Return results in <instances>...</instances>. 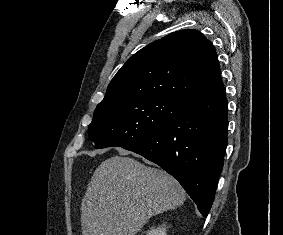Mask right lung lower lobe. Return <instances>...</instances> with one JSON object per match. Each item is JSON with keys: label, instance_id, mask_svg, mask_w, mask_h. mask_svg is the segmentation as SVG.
Segmentation results:
<instances>
[{"label": "right lung lower lobe", "instance_id": "right-lung-lower-lobe-1", "mask_svg": "<svg viewBox=\"0 0 283 235\" xmlns=\"http://www.w3.org/2000/svg\"><path fill=\"white\" fill-rule=\"evenodd\" d=\"M227 112L226 91L221 85L186 99L166 127L123 148L176 178L207 217L227 147Z\"/></svg>", "mask_w": 283, "mask_h": 235}]
</instances>
